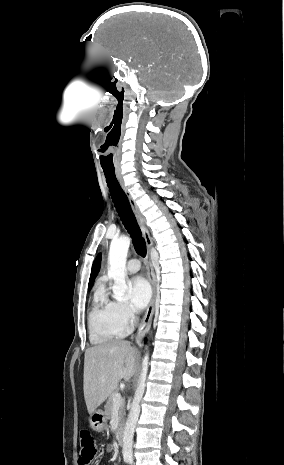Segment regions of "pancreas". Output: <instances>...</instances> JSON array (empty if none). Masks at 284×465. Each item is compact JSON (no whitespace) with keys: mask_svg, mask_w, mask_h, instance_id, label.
Masks as SVG:
<instances>
[{"mask_svg":"<svg viewBox=\"0 0 284 465\" xmlns=\"http://www.w3.org/2000/svg\"><path fill=\"white\" fill-rule=\"evenodd\" d=\"M117 391H113V393H110L108 399H107V403L105 405V415H106V419H111L112 417V409H113V397L114 395H116ZM126 413H125V407L124 405H121L120 407V411H119V425L118 427H123L125 421H124V417H125ZM116 433H118V429L116 431Z\"/></svg>","mask_w":284,"mask_h":465,"instance_id":"pancreas-1","label":"pancreas"}]
</instances>
